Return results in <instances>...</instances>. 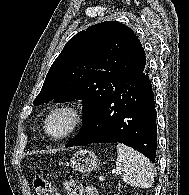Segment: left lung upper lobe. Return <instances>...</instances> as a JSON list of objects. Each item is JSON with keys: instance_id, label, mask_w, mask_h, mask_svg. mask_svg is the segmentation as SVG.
<instances>
[{"instance_id": "obj_1", "label": "left lung upper lobe", "mask_w": 189, "mask_h": 195, "mask_svg": "<svg viewBox=\"0 0 189 195\" xmlns=\"http://www.w3.org/2000/svg\"><path fill=\"white\" fill-rule=\"evenodd\" d=\"M144 49L133 30L115 21L80 31L52 64L34 105L82 100L85 122L116 89L145 71Z\"/></svg>"}]
</instances>
